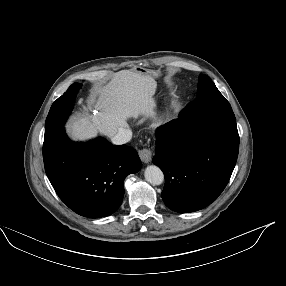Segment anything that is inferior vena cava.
I'll list each match as a JSON object with an SVG mask.
<instances>
[{"mask_svg": "<svg viewBox=\"0 0 286 286\" xmlns=\"http://www.w3.org/2000/svg\"><path fill=\"white\" fill-rule=\"evenodd\" d=\"M132 138V132L128 127L120 128L115 135L111 137L113 144L122 145L129 142Z\"/></svg>", "mask_w": 286, "mask_h": 286, "instance_id": "inferior-vena-cava-1", "label": "inferior vena cava"}]
</instances>
